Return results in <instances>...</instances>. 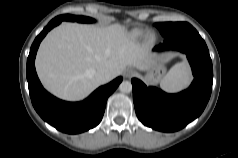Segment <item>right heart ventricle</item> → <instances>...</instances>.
Wrapping results in <instances>:
<instances>
[{
  "label": "right heart ventricle",
  "mask_w": 238,
  "mask_h": 158,
  "mask_svg": "<svg viewBox=\"0 0 238 158\" xmlns=\"http://www.w3.org/2000/svg\"><path fill=\"white\" fill-rule=\"evenodd\" d=\"M145 31L142 29H136L131 33L132 38H140L144 35Z\"/></svg>",
  "instance_id": "right-heart-ventricle-1"
}]
</instances>
